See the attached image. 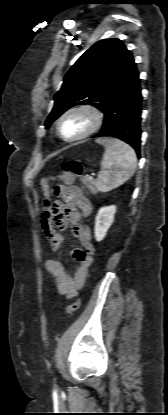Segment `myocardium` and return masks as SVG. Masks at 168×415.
I'll list each match as a JSON object with an SVG mask.
<instances>
[{
    "label": "myocardium",
    "mask_w": 168,
    "mask_h": 415,
    "mask_svg": "<svg viewBox=\"0 0 168 415\" xmlns=\"http://www.w3.org/2000/svg\"><path fill=\"white\" fill-rule=\"evenodd\" d=\"M75 112H83L87 114L90 118V126L82 134L72 137V138H67L61 132V123L66 116H68L69 114L75 113ZM103 119H104L103 112L97 106L90 104V103L77 104L66 109L58 118V121L56 124L57 134L59 135L61 139L67 142L80 141V140H83L89 137L93 133H95L101 127L103 123Z\"/></svg>",
    "instance_id": "1"
}]
</instances>
